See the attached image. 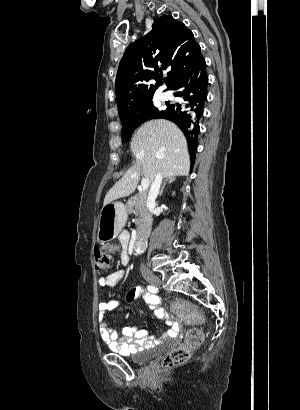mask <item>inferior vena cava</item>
Wrapping results in <instances>:
<instances>
[{
    "mask_svg": "<svg viewBox=\"0 0 300 410\" xmlns=\"http://www.w3.org/2000/svg\"><path fill=\"white\" fill-rule=\"evenodd\" d=\"M162 175L160 173H157V175L155 176L154 181L152 182L149 194H148V198H147V208L152 211L155 206H156V198L159 194V189L162 183ZM142 269H144V265L141 264Z\"/></svg>",
    "mask_w": 300,
    "mask_h": 410,
    "instance_id": "obj_1",
    "label": "inferior vena cava"
}]
</instances>
